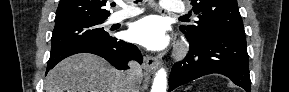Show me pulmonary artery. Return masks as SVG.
Returning a JSON list of instances; mask_svg holds the SVG:
<instances>
[{"label":"pulmonary artery","mask_w":289,"mask_h":92,"mask_svg":"<svg viewBox=\"0 0 289 92\" xmlns=\"http://www.w3.org/2000/svg\"><path fill=\"white\" fill-rule=\"evenodd\" d=\"M161 7L165 11H168L171 13H183L185 10L183 5L176 3L174 1H169V0L161 1ZM142 12H143V10L138 8V7H124V9L114 13L110 17V22L111 23L121 22L127 18H131V17H134L136 15H139Z\"/></svg>","instance_id":"e3ab8cb5"}]
</instances>
